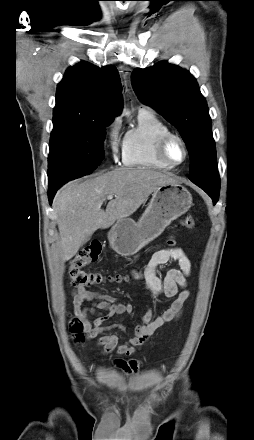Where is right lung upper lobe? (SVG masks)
Returning a JSON list of instances; mask_svg holds the SVG:
<instances>
[{
  "label": "right lung upper lobe",
  "instance_id": "right-lung-upper-lobe-1",
  "mask_svg": "<svg viewBox=\"0 0 254 440\" xmlns=\"http://www.w3.org/2000/svg\"><path fill=\"white\" fill-rule=\"evenodd\" d=\"M120 88L115 66L98 68L82 61L70 67L58 84L53 115L113 120L122 110Z\"/></svg>",
  "mask_w": 254,
  "mask_h": 440
}]
</instances>
